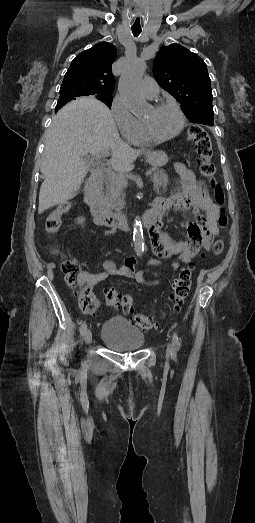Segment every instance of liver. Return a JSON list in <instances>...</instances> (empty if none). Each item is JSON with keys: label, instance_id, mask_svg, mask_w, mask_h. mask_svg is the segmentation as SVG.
<instances>
[{"label": "liver", "instance_id": "obj_1", "mask_svg": "<svg viewBox=\"0 0 255 523\" xmlns=\"http://www.w3.org/2000/svg\"><path fill=\"white\" fill-rule=\"evenodd\" d=\"M108 150L113 170L121 174L134 170L133 162L141 154L122 142L109 108L94 96L78 98L61 108L46 134L40 168L45 180L38 214L74 198L88 174L83 160L87 152L107 154Z\"/></svg>", "mask_w": 255, "mask_h": 523}]
</instances>
